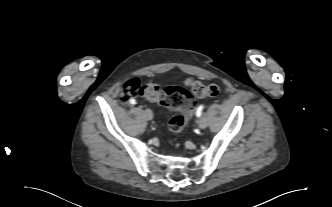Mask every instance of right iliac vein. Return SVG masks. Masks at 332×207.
I'll return each instance as SVG.
<instances>
[{
    "label": "right iliac vein",
    "instance_id": "1",
    "mask_svg": "<svg viewBox=\"0 0 332 207\" xmlns=\"http://www.w3.org/2000/svg\"><path fill=\"white\" fill-rule=\"evenodd\" d=\"M144 113H145V116L148 120H152L153 112L150 109H146Z\"/></svg>",
    "mask_w": 332,
    "mask_h": 207
}]
</instances>
